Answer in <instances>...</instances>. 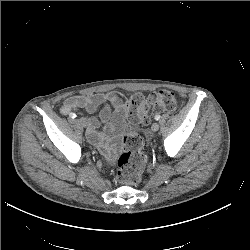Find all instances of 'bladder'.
Segmentation results:
<instances>
[{"mask_svg":"<svg viewBox=\"0 0 250 250\" xmlns=\"http://www.w3.org/2000/svg\"><path fill=\"white\" fill-rule=\"evenodd\" d=\"M117 127L121 132L126 131V128L123 124H119Z\"/></svg>","mask_w":250,"mask_h":250,"instance_id":"obj_1","label":"bladder"}]
</instances>
